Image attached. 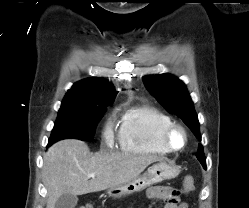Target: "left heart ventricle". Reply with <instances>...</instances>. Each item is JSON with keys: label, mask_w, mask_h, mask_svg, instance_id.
Segmentation results:
<instances>
[{"label": "left heart ventricle", "mask_w": 249, "mask_h": 208, "mask_svg": "<svg viewBox=\"0 0 249 208\" xmlns=\"http://www.w3.org/2000/svg\"><path fill=\"white\" fill-rule=\"evenodd\" d=\"M183 141H184V137L180 131H176L171 137V142L174 146L182 145Z\"/></svg>", "instance_id": "obj_1"}]
</instances>
